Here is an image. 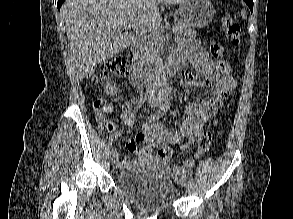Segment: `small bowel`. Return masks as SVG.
Listing matches in <instances>:
<instances>
[{
    "label": "small bowel",
    "mask_w": 293,
    "mask_h": 219,
    "mask_svg": "<svg viewBox=\"0 0 293 219\" xmlns=\"http://www.w3.org/2000/svg\"><path fill=\"white\" fill-rule=\"evenodd\" d=\"M188 59L195 69L204 74L206 78H195L190 73H184V84L190 87L204 88L211 91L213 97L199 103H188L185 107L187 117L174 132H169L159 124L146 123L143 130L135 137L126 141L129 152L138 156L139 159H147L151 156L154 148L165 145L186 148L188 144L202 134L203 127L207 124H215L214 115L228 99V92L236 86L235 79L230 74L221 73L216 64L208 56L206 49L197 42L183 41L179 45V53L175 59L178 63ZM145 101V95L139 94L132 98L121 115V120L127 127H132L136 112ZM188 142L185 143L184 141ZM138 142H143L145 148L139 150ZM123 162L121 165H125Z\"/></svg>",
    "instance_id": "obj_1"
}]
</instances>
